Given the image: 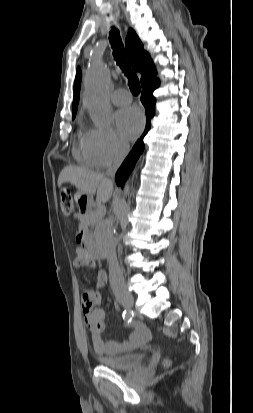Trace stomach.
Returning <instances> with one entry per match:
<instances>
[{"instance_id": "stomach-1", "label": "stomach", "mask_w": 253, "mask_h": 413, "mask_svg": "<svg viewBox=\"0 0 253 413\" xmlns=\"http://www.w3.org/2000/svg\"><path fill=\"white\" fill-rule=\"evenodd\" d=\"M74 199L78 204H82V206L85 204L87 207L89 206L90 202H91V196L81 192L80 190H78L75 195H74Z\"/></svg>"}]
</instances>
